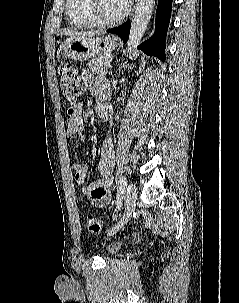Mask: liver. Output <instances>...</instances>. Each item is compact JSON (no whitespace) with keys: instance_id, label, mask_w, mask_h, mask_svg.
<instances>
[{"instance_id":"6515ba94","label":"liver","mask_w":239,"mask_h":303,"mask_svg":"<svg viewBox=\"0 0 239 303\" xmlns=\"http://www.w3.org/2000/svg\"><path fill=\"white\" fill-rule=\"evenodd\" d=\"M62 34L66 35V36H70L69 39L72 38H80V37H85V36H99L104 34V32L102 31H82V32H77V31H64Z\"/></svg>"}]
</instances>
